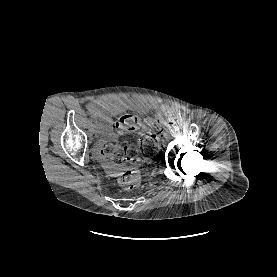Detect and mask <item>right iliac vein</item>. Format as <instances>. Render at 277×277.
<instances>
[{"label": "right iliac vein", "mask_w": 277, "mask_h": 277, "mask_svg": "<svg viewBox=\"0 0 277 277\" xmlns=\"http://www.w3.org/2000/svg\"><path fill=\"white\" fill-rule=\"evenodd\" d=\"M94 134H95V136L97 137V136L99 135V131H98V130H95V131H94Z\"/></svg>", "instance_id": "right-iliac-vein-1"}]
</instances>
